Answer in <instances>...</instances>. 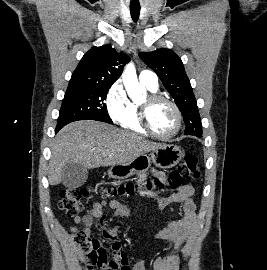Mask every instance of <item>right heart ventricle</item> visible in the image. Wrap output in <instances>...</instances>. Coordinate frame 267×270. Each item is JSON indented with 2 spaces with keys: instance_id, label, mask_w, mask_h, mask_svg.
Masks as SVG:
<instances>
[{
  "instance_id": "1",
  "label": "right heart ventricle",
  "mask_w": 267,
  "mask_h": 270,
  "mask_svg": "<svg viewBox=\"0 0 267 270\" xmlns=\"http://www.w3.org/2000/svg\"><path fill=\"white\" fill-rule=\"evenodd\" d=\"M144 85L151 93H157L158 87H152L147 84ZM120 124L124 129L128 131H132L134 133L144 136L148 135V133L145 131V129L142 127L140 123L139 105L136 103H131L130 112L128 116Z\"/></svg>"
}]
</instances>
